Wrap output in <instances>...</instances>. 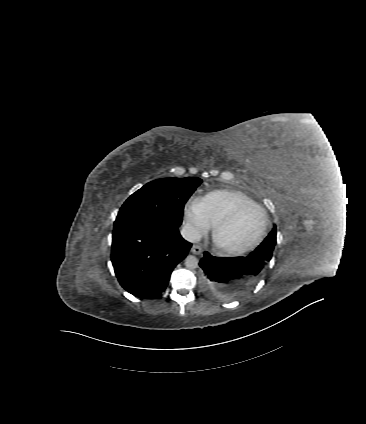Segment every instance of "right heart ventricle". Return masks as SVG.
Here are the masks:
<instances>
[{
  "instance_id": "obj_1",
  "label": "right heart ventricle",
  "mask_w": 366,
  "mask_h": 424,
  "mask_svg": "<svg viewBox=\"0 0 366 424\" xmlns=\"http://www.w3.org/2000/svg\"><path fill=\"white\" fill-rule=\"evenodd\" d=\"M202 202L204 213L212 226L237 206L245 203H256L245 193L230 189L209 192L203 197Z\"/></svg>"
}]
</instances>
